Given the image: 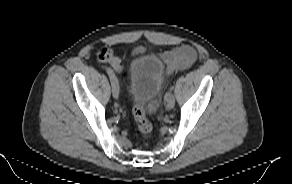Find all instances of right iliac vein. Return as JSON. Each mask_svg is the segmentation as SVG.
Returning <instances> with one entry per match:
<instances>
[{
	"label": "right iliac vein",
	"instance_id": "63e3f726",
	"mask_svg": "<svg viewBox=\"0 0 292 184\" xmlns=\"http://www.w3.org/2000/svg\"><path fill=\"white\" fill-rule=\"evenodd\" d=\"M112 95L115 99L119 97V85L116 77L111 79Z\"/></svg>",
	"mask_w": 292,
	"mask_h": 184
}]
</instances>
